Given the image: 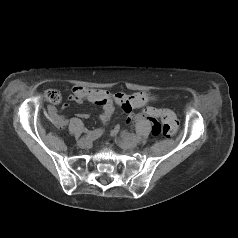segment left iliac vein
Wrapping results in <instances>:
<instances>
[{"mask_svg": "<svg viewBox=\"0 0 238 238\" xmlns=\"http://www.w3.org/2000/svg\"><path fill=\"white\" fill-rule=\"evenodd\" d=\"M120 146L124 149V150H128V149H133L137 146V142L134 140H128L126 138H122V140L119 141Z\"/></svg>", "mask_w": 238, "mask_h": 238, "instance_id": "obj_1", "label": "left iliac vein"}]
</instances>
